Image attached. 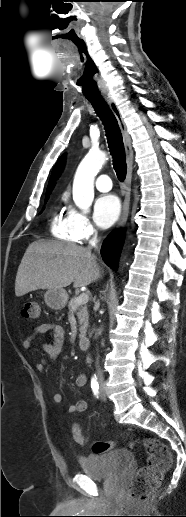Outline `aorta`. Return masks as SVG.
<instances>
[{"mask_svg": "<svg viewBox=\"0 0 186 517\" xmlns=\"http://www.w3.org/2000/svg\"><path fill=\"white\" fill-rule=\"evenodd\" d=\"M107 160L105 152L91 150L79 164L73 181V200L87 211L94 198V179Z\"/></svg>", "mask_w": 186, "mask_h": 517, "instance_id": "762f6f07", "label": "aorta"}]
</instances>
